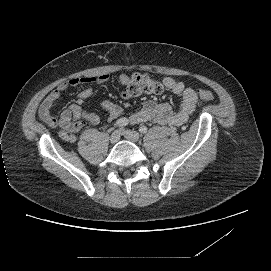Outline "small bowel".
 <instances>
[{
    "mask_svg": "<svg viewBox=\"0 0 271 271\" xmlns=\"http://www.w3.org/2000/svg\"><path fill=\"white\" fill-rule=\"evenodd\" d=\"M129 77L125 74L120 76L122 84L127 86ZM108 75H99L94 77H76L62 82L52 90L42 102L39 109L40 118L51 127H60V137L64 141L73 142L76 139V133L87 124L96 125L100 118L94 113L85 111L79 104L73 103L63 109L59 117L56 118L51 113V108L60 99L61 95L71 87H77L83 84H104L108 82ZM163 85L172 93L181 97L180 107L175 110L168 103H156L152 100L144 102L142 108L131 115L130 122L139 124L142 122H151L161 125H182L196 110L198 104V95L195 90L186 88L185 85L173 78L163 79ZM93 94V88L88 86L78 93L80 99L89 98ZM124 98H130L125 89L122 92ZM101 107L106 111L110 120L119 118L122 114V108L109 101L101 103Z\"/></svg>",
    "mask_w": 271,
    "mask_h": 271,
    "instance_id": "c3829d8e",
    "label": "small bowel"
}]
</instances>
